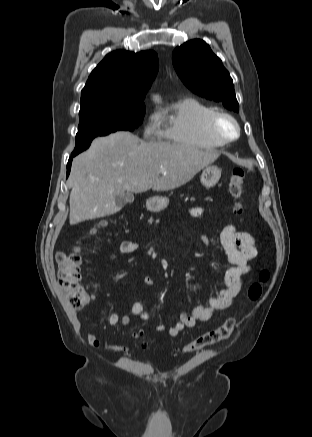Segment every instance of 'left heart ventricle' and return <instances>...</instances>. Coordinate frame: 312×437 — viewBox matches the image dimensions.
<instances>
[{"label":"left heart ventricle","mask_w":312,"mask_h":437,"mask_svg":"<svg viewBox=\"0 0 312 437\" xmlns=\"http://www.w3.org/2000/svg\"><path fill=\"white\" fill-rule=\"evenodd\" d=\"M218 129L226 135H232L234 133V126L226 119L219 120Z\"/></svg>","instance_id":"left-heart-ventricle-1"}]
</instances>
